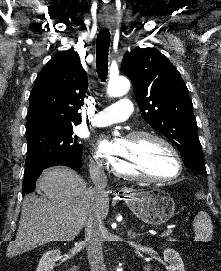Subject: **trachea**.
<instances>
[{"label": "trachea", "mask_w": 221, "mask_h": 271, "mask_svg": "<svg viewBox=\"0 0 221 271\" xmlns=\"http://www.w3.org/2000/svg\"><path fill=\"white\" fill-rule=\"evenodd\" d=\"M110 46V33L107 29L100 30L96 41V67L98 77L105 81L108 75V52Z\"/></svg>", "instance_id": "obj_1"}]
</instances>
